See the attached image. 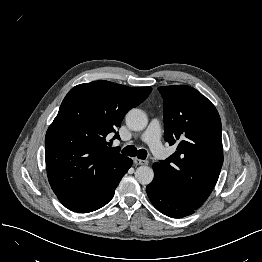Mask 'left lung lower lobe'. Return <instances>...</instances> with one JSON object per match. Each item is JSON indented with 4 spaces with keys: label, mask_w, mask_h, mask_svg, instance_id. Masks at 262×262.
<instances>
[{
    "label": "left lung lower lobe",
    "mask_w": 262,
    "mask_h": 262,
    "mask_svg": "<svg viewBox=\"0 0 262 262\" xmlns=\"http://www.w3.org/2000/svg\"><path fill=\"white\" fill-rule=\"evenodd\" d=\"M154 180L147 186V195L154 207L171 218H183L194 213L193 209L177 198L163 183L156 163L153 164Z\"/></svg>",
    "instance_id": "0a47b994"
}]
</instances>
